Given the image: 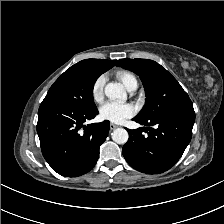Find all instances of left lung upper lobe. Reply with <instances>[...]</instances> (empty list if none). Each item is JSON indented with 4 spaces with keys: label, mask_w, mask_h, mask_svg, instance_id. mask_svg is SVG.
<instances>
[{
    "label": "left lung upper lobe",
    "mask_w": 224,
    "mask_h": 224,
    "mask_svg": "<svg viewBox=\"0 0 224 224\" xmlns=\"http://www.w3.org/2000/svg\"><path fill=\"white\" fill-rule=\"evenodd\" d=\"M121 66L136 73L145 88L146 102L136 116L151 120L178 109H193L188 94L177 80L160 64L148 59H120Z\"/></svg>",
    "instance_id": "left-lung-upper-lobe-1"
}]
</instances>
